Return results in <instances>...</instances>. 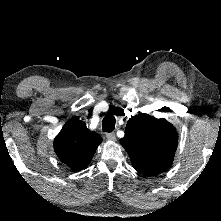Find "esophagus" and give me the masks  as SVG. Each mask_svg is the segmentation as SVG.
<instances>
[{
    "mask_svg": "<svg viewBox=\"0 0 221 221\" xmlns=\"http://www.w3.org/2000/svg\"><path fill=\"white\" fill-rule=\"evenodd\" d=\"M106 138L110 141H115L116 140V135L115 133L111 132V133H106Z\"/></svg>",
    "mask_w": 221,
    "mask_h": 221,
    "instance_id": "esophagus-1",
    "label": "esophagus"
}]
</instances>
